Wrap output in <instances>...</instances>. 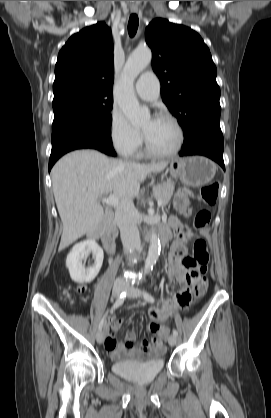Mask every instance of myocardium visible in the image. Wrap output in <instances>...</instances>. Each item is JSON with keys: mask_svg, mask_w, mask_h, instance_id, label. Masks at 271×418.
<instances>
[{"mask_svg": "<svg viewBox=\"0 0 271 418\" xmlns=\"http://www.w3.org/2000/svg\"><path fill=\"white\" fill-rule=\"evenodd\" d=\"M156 118H164V119L169 120L175 126V128L177 130L178 140H177V143H176L175 147L172 150L167 151V152H158L151 147L145 133L143 132V140H144V145H145V151L148 155H150L152 157H156V158L172 157V156L176 155L183 146L184 130H183L181 124L179 123V121L173 115H171L169 113L161 112L156 116Z\"/></svg>", "mask_w": 271, "mask_h": 418, "instance_id": "obj_1", "label": "myocardium"}]
</instances>
